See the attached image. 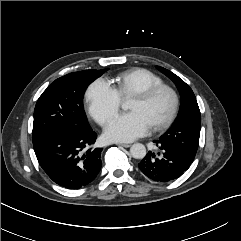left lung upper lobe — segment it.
Masks as SVG:
<instances>
[{
    "label": "left lung upper lobe",
    "instance_id": "5c2ea615",
    "mask_svg": "<svg viewBox=\"0 0 241 241\" xmlns=\"http://www.w3.org/2000/svg\"><path fill=\"white\" fill-rule=\"evenodd\" d=\"M158 68L176 84L182 101L178 120L159 140L173 145L188 158L194 160L201 129V115L195 95L192 89L177 75L163 67Z\"/></svg>",
    "mask_w": 241,
    "mask_h": 241
}]
</instances>
